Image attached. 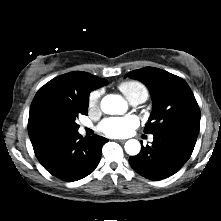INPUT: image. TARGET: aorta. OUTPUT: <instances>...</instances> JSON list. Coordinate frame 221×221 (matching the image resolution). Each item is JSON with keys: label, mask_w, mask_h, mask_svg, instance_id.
<instances>
[{"label": "aorta", "mask_w": 221, "mask_h": 221, "mask_svg": "<svg viewBox=\"0 0 221 221\" xmlns=\"http://www.w3.org/2000/svg\"><path fill=\"white\" fill-rule=\"evenodd\" d=\"M101 109L106 114H121L127 109L125 100L118 95H106L101 101ZM125 151L127 154L134 156L140 152L141 145L138 140L130 139L125 143Z\"/></svg>", "instance_id": "aorta-1"}]
</instances>
